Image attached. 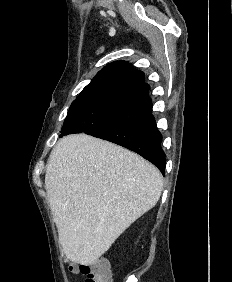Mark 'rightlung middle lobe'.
Listing matches in <instances>:
<instances>
[{"mask_svg": "<svg viewBox=\"0 0 232 282\" xmlns=\"http://www.w3.org/2000/svg\"><path fill=\"white\" fill-rule=\"evenodd\" d=\"M151 112V99L141 92L110 90L82 94L72 102L60 136L111 129L147 117Z\"/></svg>", "mask_w": 232, "mask_h": 282, "instance_id": "1", "label": "right lung middle lobe"}]
</instances>
